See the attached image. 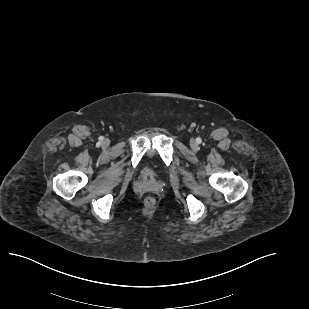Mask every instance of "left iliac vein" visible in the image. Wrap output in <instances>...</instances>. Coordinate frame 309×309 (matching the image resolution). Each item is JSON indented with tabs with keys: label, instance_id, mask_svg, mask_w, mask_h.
I'll return each instance as SVG.
<instances>
[{
	"label": "left iliac vein",
	"instance_id": "1",
	"mask_svg": "<svg viewBox=\"0 0 309 309\" xmlns=\"http://www.w3.org/2000/svg\"><path fill=\"white\" fill-rule=\"evenodd\" d=\"M190 145H191L192 149H194V150L197 149L198 145H197L196 141L192 140Z\"/></svg>",
	"mask_w": 309,
	"mask_h": 309
}]
</instances>
